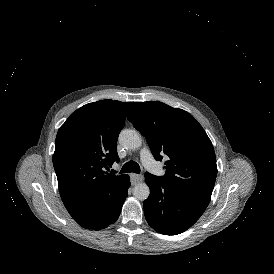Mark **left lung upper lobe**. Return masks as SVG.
Instances as JSON below:
<instances>
[{
    "label": "left lung upper lobe",
    "instance_id": "1",
    "mask_svg": "<svg viewBox=\"0 0 274 274\" xmlns=\"http://www.w3.org/2000/svg\"><path fill=\"white\" fill-rule=\"evenodd\" d=\"M127 118L146 138L156 160L163 154L169 157L165 175L158 177L161 181L211 197L217 175L215 152L191 114L148 101L133 103Z\"/></svg>",
    "mask_w": 274,
    "mask_h": 274
}]
</instances>
